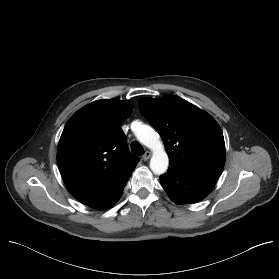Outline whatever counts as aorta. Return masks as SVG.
<instances>
[{
  "mask_svg": "<svg viewBox=\"0 0 279 279\" xmlns=\"http://www.w3.org/2000/svg\"><path fill=\"white\" fill-rule=\"evenodd\" d=\"M134 125L133 131L137 139L153 152L150 159V169L154 174H164L169 166V158L157 132L145 124L136 123V127Z\"/></svg>",
  "mask_w": 279,
  "mask_h": 279,
  "instance_id": "obj_1",
  "label": "aorta"
}]
</instances>
